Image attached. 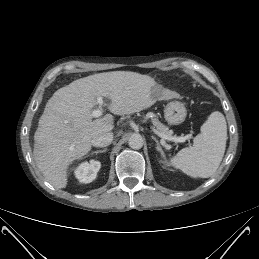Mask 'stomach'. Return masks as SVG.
Wrapping results in <instances>:
<instances>
[{
    "label": "stomach",
    "mask_w": 259,
    "mask_h": 259,
    "mask_svg": "<svg viewBox=\"0 0 259 259\" xmlns=\"http://www.w3.org/2000/svg\"><path fill=\"white\" fill-rule=\"evenodd\" d=\"M186 114L184 104L179 101L169 102L164 110V117L171 125L181 124L185 120Z\"/></svg>",
    "instance_id": "stomach-1"
}]
</instances>
